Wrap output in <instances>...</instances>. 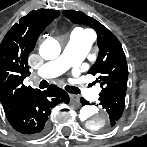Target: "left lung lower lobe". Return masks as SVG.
<instances>
[{
  "label": "left lung lower lobe",
  "mask_w": 147,
  "mask_h": 147,
  "mask_svg": "<svg viewBox=\"0 0 147 147\" xmlns=\"http://www.w3.org/2000/svg\"><path fill=\"white\" fill-rule=\"evenodd\" d=\"M125 95L123 91H112L100 96L99 100L103 109L109 114V123L107 127H113L122 116L125 106ZM81 103L86 105L88 102L81 98Z\"/></svg>",
  "instance_id": "left-lung-lower-lobe-1"
}]
</instances>
